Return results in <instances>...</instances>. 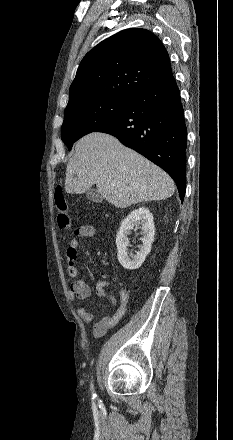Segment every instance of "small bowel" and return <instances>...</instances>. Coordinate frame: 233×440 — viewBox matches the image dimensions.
<instances>
[{
  "mask_svg": "<svg viewBox=\"0 0 233 440\" xmlns=\"http://www.w3.org/2000/svg\"><path fill=\"white\" fill-rule=\"evenodd\" d=\"M96 235L97 229L90 225L81 226L74 231L75 237L71 239L67 248V257L69 260L67 271L70 277L78 278L79 276V270L74 265V259L77 256L79 248L78 238H92ZM111 285L112 282L108 280H102L96 284L97 296L105 300L107 307H116V309L112 313L105 312L95 322L92 330L95 337L103 336L112 329L122 319L126 311V305L129 299L128 291L125 288L120 289L118 302L114 296L108 294L106 291L107 287ZM70 295L72 299L86 300L91 295V289L84 279H76L70 286ZM77 314L79 318L86 323L92 322L95 319V314L88 311L85 307H79Z\"/></svg>",
  "mask_w": 233,
  "mask_h": 440,
  "instance_id": "small-bowel-1",
  "label": "small bowel"
}]
</instances>
